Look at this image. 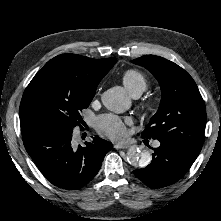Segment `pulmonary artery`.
<instances>
[{"label":"pulmonary artery","mask_w":221,"mask_h":221,"mask_svg":"<svg viewBox=\"0 0 221 221\" xmlns=\"http://www.w3.org/2000/svg\"><path fill=\"white\" fill-rule=\"evenodd\" d=\"M131 95H132L133 98H138L140 96V93L139 92H135V93H133ZM154 146L155 147H159L160 146V142L159 141H155Z\"/></svg>","instance_id":"e3ab8cb5"}]
</instances>
